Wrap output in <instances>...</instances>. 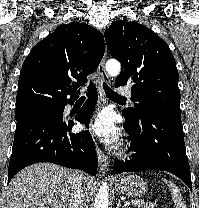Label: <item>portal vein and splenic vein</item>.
Returning <instances> with one entry per match:
<instances>
[{"mask_svg":"<svg viewBox=\"0 0 199 208\" xmlns=\"http://www.w3.org/2000/svg\"><path fill=\"white\" fill-rule=\"evenodd\" d=\"M129 205H130L129 202H125V204H124L125 207H128Z\"/></svg>","mask_w":199,"mask_h":208,"instance_id":"1","label":"portal vein and splenic vein"}]
</instances>
